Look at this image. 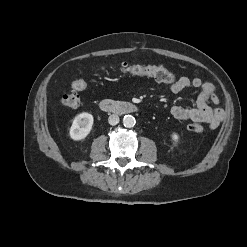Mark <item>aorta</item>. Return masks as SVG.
Returning <instances> with one entry per match:
<instances>
[{
	"mask_svg": "<svg viewBox=\"0 0 247 247\" xmlns=\"http://www.w3.org/2000/svg\"><path fill=\"white\" fill-rule=\"evenodd\" d=\"M136 121L132 115H125L123 118V125L127 128H131L135 125Z\"/></svg>",
	"mask_w": 247,
	"mask_h": 247,
	"instance_id": "1",
	"label": "aorta"
}]
</instances>
